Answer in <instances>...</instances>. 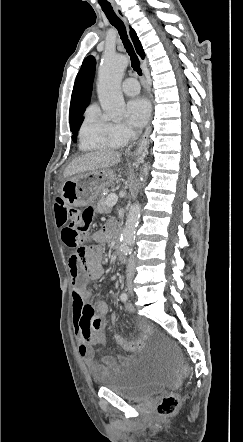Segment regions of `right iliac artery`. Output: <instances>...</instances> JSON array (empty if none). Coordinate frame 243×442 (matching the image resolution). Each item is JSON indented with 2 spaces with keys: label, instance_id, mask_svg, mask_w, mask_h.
Instances as JSON below:
<instances>
[{
  "label": "right iliac artery",
  "instance_id": "82829eb1",
  "mask_svg": "<svg viewBox=\"0 0 243 442\" xmlns=\"http://www.w3.org/2000/svg\"><path fill=\"white\" fill-rule=\"evenodd\" d=\"M121 301L125 302L128 299V294L123 292L120 296Z\"/></svg>",
  "mask_w": 243,
  "mask_h": 442
}]
</instances>
